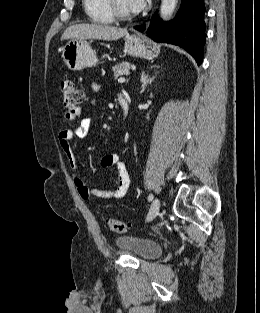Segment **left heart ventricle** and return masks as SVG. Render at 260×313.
<instances>
[{"instance_id": "b2bd125f", "label": "left heart ventricle", "mask_w": 260, "mask_h": 313, "mask_svg": "<svg viewBox=\"0 0 260 313\" xmlns=\"http://www.w3.org/2000/svg\"><path fill=\"white\" fill-rule=\"evenodd\" d=\"M118 8L127 14L133 13L129 0H116Z\"/></svg>"}]
</instances>
